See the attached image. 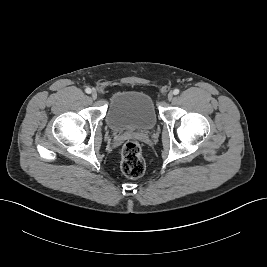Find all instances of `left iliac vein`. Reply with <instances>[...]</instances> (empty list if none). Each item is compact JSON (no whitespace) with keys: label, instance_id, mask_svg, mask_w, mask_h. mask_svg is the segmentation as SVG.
Returning a JSON list of instances; mask_svg holds the SVG:
<instances>
[{"label":"left iliac vein","instance_id":"4c4485c4","mask_svg":"<svg viewBox=\"0 0 267 267\" xmlns=\"http://www.w3.org/2000/svg\"><path fill=\"white\" fill-rule=\"evenodd\" d=\"M167 99H168V101H171L173 99V93L172 92L168 93Z\"/></svg>","mask_w":267,"mask_h":267}]
</instances>
